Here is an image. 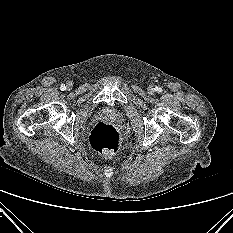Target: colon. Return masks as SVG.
Masks as SVG:
<instances>
[{
  "mask_svg": "<svg viewBox=\"0 0 233 233\" xmlns=\"http://www.w3.org/2000/svg\"><path fill=\"white\" fill-rule=\"evenodd\" d=\"M91 147L103 154L112 155L116 153L121 145V138L118 130L106 122H98L89 135Z\"/></svg>",
  "mask_w": 233,
  "mask_h": 233,
  "instance_id": "1",
  "label": "colon"
}]
</instances>
